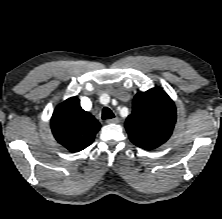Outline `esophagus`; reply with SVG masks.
I'll return each instance as SVG.
<instances>
[{
	"instance_id": "1",
	"label": "esophagus",
	"mask_w": 222,
	"mask_h": 219,
	"mask_svg": "<svg viewBox=\"0 0 222 219\" xmlns=\"http://www.w3.org/2000/svg\"><path fill=\"white\" fill-rule=\"evenodd\" d=\"M119 122V119L116 117V118H113V119H108L107 121H106V123H108V124H116V123H118Z\"/></svg>"
}]
</instances>
